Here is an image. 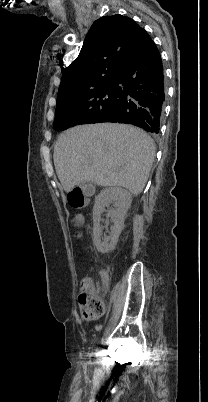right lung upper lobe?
Segmentation results:
<instances>
[{
    "label": "right lung upper lobe",
    "mask_w": 208,
    "mask_h": 402,
    "mask_svg": "<svg viewBox=\"0 0 208 402\" xmlns=\"http://www.w3.org/2000/svg\"><path fill=\"white\" fill-rule=\"evenodd\" d=\"M146 35V30L123 15L96 20L78 57L65 69L58 95L97 81L115 80Z\"/></svg>",
    "instance_id": "1"
}]
</instances>
